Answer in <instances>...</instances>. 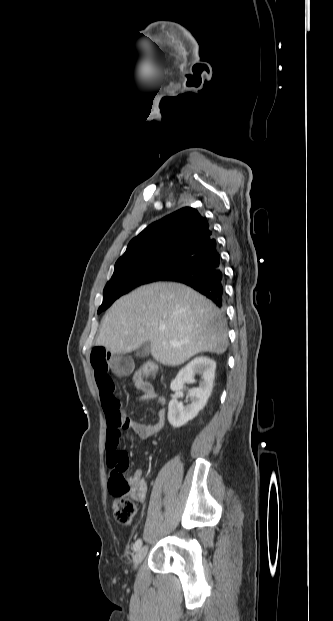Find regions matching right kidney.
<instances>
[{
  "label": "right kidney",
  "instance_id": "1",
  "mask_svg": "<svg viewBox=\"0 0 333 621\" xmlns=\"http://www.w3.org/2000/svg\"><path fill=\"white\" fill-rule=\"evenodd\" d=\"M215 361L208 357H197L189 362L177 374L175 380L171 383L172 391H180L186 382H194L196 373L202 375L199 387H193L189 391L191 404L184 406L182 402L172 399L168 405V421L175 427L179 428L197 416L202 410L212 392L213 381L215 377Z\"/></svg>",
  "mask_w": 333,
  "mask_h": 621
}]
</instances>
